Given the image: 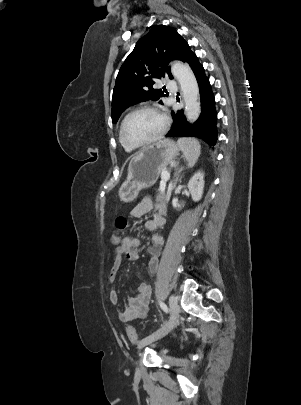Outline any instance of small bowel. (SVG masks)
Segmentation results:
<instances>
[{"instance_id": "small-bowel-1", "label": "small bowel", "mask_w": 301, "mask_h": 405, "mask_svg": "<svg viewBox=\"0 0 301 405\" xmlns=\"http://www.w3.org/2000/svg\"><path fill=\"white\" fill-rule=\"evenodd\" d=\"M148 213L151 214V218L145 223V227L151 233L153 242V245L147 249L149 256L148 272L153 275L158 269L161 248L164 245L163 237L156 233V230L165 223L164 209L160 207L155 210L152 200L145 198L132 209L130 215L133 218H139ZM122 239L120 245L114 248L113 261L108 274L111 285L109 299L114 305H118L119 302L115 281L123 260L135 261L139 257L140 240L130 236L122 237ZM151 292L150 285L139 284L136 295L129 297L123 307H117L118 319L122 322H128L145 317L149 310Z\"/></svg>"}]
</instances>
